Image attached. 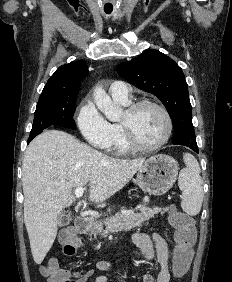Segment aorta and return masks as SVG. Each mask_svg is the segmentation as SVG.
<instances>
[{"mask_svg": "<svg viewBox=\"0 0 232 282\" xmlns=\"http://www.w3.org/2000/svg\"><path fill=\"white\" fill-rule=\"evenodd\" d=\"M93 99L97 108L107 117V119L110 121H118L121 118V109L114 105L111 97L107 95L101 86L96 85L94 87Z\"/></svg>", "mask_w": 232, "mask_h": 282, "instance_id": "aorta-1", "label": "aorta"}]
</instances>
